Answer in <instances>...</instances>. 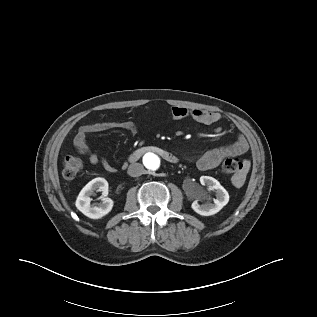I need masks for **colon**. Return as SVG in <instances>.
<instances>
[{"label": "colon", "instance_id": "colon-1", "mask_svg": "<svg viewBox=\"0 0 317 317\" xmlns=\"http://www.w3.org/2000/svg\"><path fill=\"white\" fill-rule=\"evenodd\" d=\"M83 168L80 158L75 156H66L63 160V176L66 179L75 178ZM243 169L242 163L233 157L225 158L222 162V170L229 175H237Z\"/></svg>", "mask_w": 317, "mask_h": 317}]
</instances>
